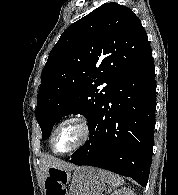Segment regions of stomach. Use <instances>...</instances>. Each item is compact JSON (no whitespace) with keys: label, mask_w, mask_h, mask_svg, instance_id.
I'll return each mask as SVG.
<instances>
[{"label":"stomach","mask_w":178,"mask_h":195,"mask_svg":"<svg viewBox=\"0 0 178 195\" xmlns=\"http://www.w3.org/2000/svg\"><path fill=\"white\" fill-rule=\"evenodd\" d=\"M47 173V177H53L56 182L57 190L52 191L55 194L101 195L106 190V180L98 168L91 166L74 167L72 170L49 168Z\"/></svg>","instance_id":"0dacf381"}]
</instances>
